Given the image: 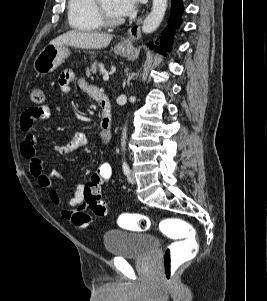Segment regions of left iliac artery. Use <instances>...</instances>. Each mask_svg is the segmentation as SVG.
I'll list each match as a JSON object with an SVG mask.
<instances>
[{
  "label": "left iliac artery",
  "mask_w": 267,
  "mask_h": 301,
  "mask_svg": "<svg viewBox=\"0 0 267 301\" xmlns=\"http://www.w3.org/2000/svg\"><path fill=\"white\" fill-rule=\"evenodd\" d=\"M123 171H124V174H125L126 176H129L130 173H131V170H130V168H129L127 162H124V163H123Z\"/></svg>",
  "instance_id": "obj_1"
}]
</instances>
